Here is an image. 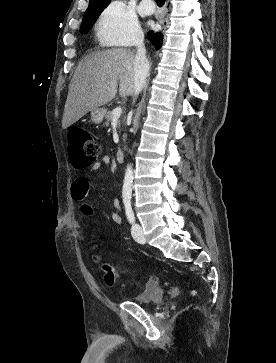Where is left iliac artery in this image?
I'll list each match as a JSON object with an SVG mask.
<instances>
[{"label":"left iliac artery","mask_w":276,"mask_h":363,"mask_svg":"<svg viewBox=\"0 0 276 363\" xmlns=\"http://www.w3.org/2000/svg\"><path fill=\"white\" fill-rule=\"evenodd\" d=\"M124 205H125L127 219L130 223H133L135 221V217H134V213L132 210L131 201L125 200Z\"/></svg>","instance_id":"obj_1"}]
</instances>
